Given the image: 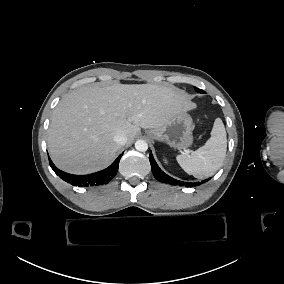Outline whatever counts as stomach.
I'll use <instances>...</instances> for the list:
<instances>
[{
    "label": "stomach",
    "instance_id": "obj_1",
    "mask_svg": "<svg viewBox=\"0 0 284 284\" xmlns=\"http://www.w3.org/2000/svg\"><path fill=\"white\" fill-rule=\"evenodd\" d=\"M193 129L192 117L187 111H181L164 125L150 129L148 135L175 149L185 150L193 143Z\"/></svg>",
    "mask_w": 284,
    "mask_h": 284
}]
</instances>
